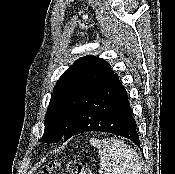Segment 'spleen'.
Returning a JSON list of instances; mask_svg holds the SVG:
<instances>
[{"instance_id":"obj_1","label":"spleen","mask_w":175,"mask_h":174,"mask_svg":"<svg viewBox=\"0 0 175 174\" xmlns=\"http://www.w3.org/2000/svg\"><path fill=\"white\" fill-rule=\"evenodd\" d=\"M90 143L98 149L104 174H141L137 152L124 141L115 138H92Z\"/></svg>"}]
</instances>
